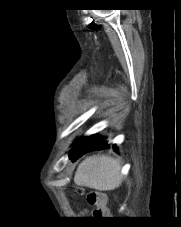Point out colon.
<instances>
[{
  "label": "colon",
  "instance_id": "1",
  "mask_svg": "<svg viewBox=\"0 0 181 227\" xmlns=\"http://www.w3.org/2000/svg\"><path fill=\"white\" fill-rule=\"evenodd\" d=\"M87 202L95 206L93 216L97 218H108L110 215L107 207V196L104 192L92 190L87 194Z\"/></svg>",
  "mask_w": 181,
  "mask_h": 227
}]
</instances>
